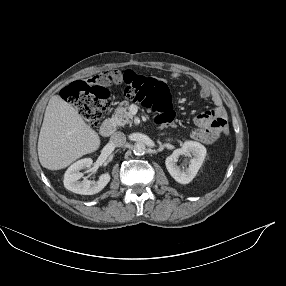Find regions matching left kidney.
Returning <instances> with one entry per match:
<instances>
[{
    "mask_svg": "<svg viewBox=\"0 0 286 286\" xmlns=\"http://www.w3.org/2000/svg\"><path fill=\"white\" fill-rule=\"evenodd\" d=\"M180 155H192L188 168L182 170L177 166V161ZM206 157V148L195 141H186L183 146L168 156L165 160V165L170 175L181 184H188L196 176L203 161Z\"/></svg>",
    "mask_w": 286,
    "mask_h": 286,
    "instance_id": "1",
    "label": "left kidney"
}]
</instances>
